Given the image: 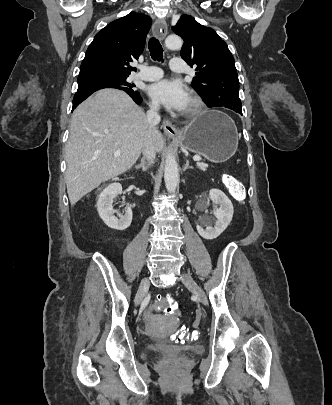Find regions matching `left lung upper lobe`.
Segmentation results:
<instances>
[{
  "mask_svg": "<svg viewBox=\"0 0 332 405\" xmlns=\"http://www.w3.org/2000/svg\"><path fill=\"white\" fill-rule=\"evenodd\" d=\"M172 30L184 40L181 57L197 66L192 84L205 104L241 110L238 75L227 44L190 15H182Z\"/></svg>",
  "mask_w": 332,
  "mask_h": 405,
  "instance_id": "left-lung-upper-lobe-1",
  "label": "left lung upper lobe"
}]
</instances>
